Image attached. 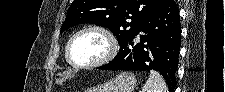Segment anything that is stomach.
<instances>
[{
  "instance_id": "obj_1",
  "label": "stomach",
  "mask_w": 225,
  "mask_h": 92,
  "mask_svg": "<svg viewBox=\"0 0 225 92\" xmlns=\"http://www.w3.org/2000/svg\"><path fill=\"white\" fill-rule=\"evenodd\" d=\"M136 86V77L133 73L122 72L112 80L94 88L88 92H132Z\"/></svg>"
}]
</instances>
